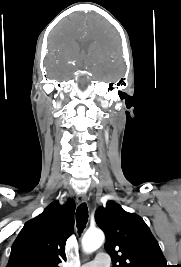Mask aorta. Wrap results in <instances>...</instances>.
Returning a JSON list of instances; mask_svg holds the SVG:
<instances>
[{
	"mask_svg": "<svg viewBox=\"0 0 181 267\" xmlns=\"http://www.w3.org/2000/svg\"><path fill=\"white\" fill-rule=\"evenodd\" d=\"M105 240L104 233L99 230H88L82 238V248L86 253H92L102 246Z\"/></svg>",
	"mask_w": 181,
	"mask_h": 267,
	"instance_id": "1",
	"label": "aorta"
}]
</instances>
